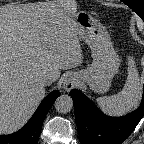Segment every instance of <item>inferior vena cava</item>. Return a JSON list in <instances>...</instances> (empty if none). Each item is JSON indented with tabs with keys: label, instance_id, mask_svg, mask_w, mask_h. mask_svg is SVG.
Segmentation results:
<instances>
[{
	"label": "inferior vena cava",
	"instance_id": "1",
	"mask_svg": "<svg viewBox=\"0 0 144 144\" xmlns=\"http://www.w3.org/2000/svg\"><path fill=\"white\" fill-rule=\"evenodd\" d=\"M54 81H56V78L53 75L48 74L41 78L40 83L43 86H47L52 84Z\"/></svg>",
	"mask_w": 144,
	"mask_h": 144
}]
</instances>
